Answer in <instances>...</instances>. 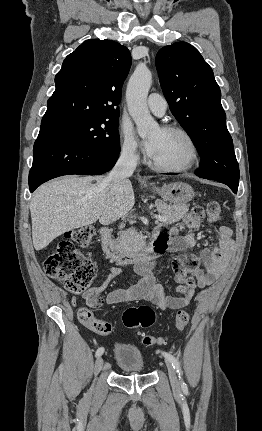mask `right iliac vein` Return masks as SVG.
Returning <instances> with one entry per match:
<instances>
[{"mask_svg":"<svg viewBox=\"0 0 262 431\" xmlns=\"http://www.w3.org/2000/svg\"><path fill=\"white\" fill-rule=\"evenodd\" d=\"M103 367V358L98 357L95 362V373L98 374Z\"/></svg>","mask_w":262,"mask_h":431,"instance_id":"right-iliac-vein-1","label":"right iliac vein"}]
</instances>
